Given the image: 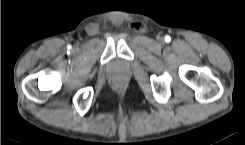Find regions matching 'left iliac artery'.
Segmentation results:
<instances>
[{"label": "left iliac artery", "mask_w": 245, "mask_h": 145, "mask_svg": "<svg viewBox=\"0 0 245 145\" xmlns=\"http://www.w3.org/2000/svg\"><path fill=\"white\" fill-rule=\"evenodd\" d=\"M170 40H171L170 36H166V37H165V41H166V42H169Z\"/></svg>", "instance_id": "1"}]
</instances>
